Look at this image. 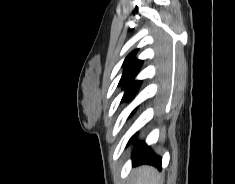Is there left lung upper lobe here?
<instances>
[{
    "label": "left lung upper lobe",
    "mask_w": 235,
    "mask_h": 184,
    "mask_svg": "<svg viewBox=\"0 0 235 184\" xmlns=\"http://www.w3.org/2000/svg\"><path fill=\"white\" fill-rule=\"evenodd\" d=\"M138 49L132 51L124 60V71L120 79L119 85L124 86L125 93L122 98L123 101L130 100L134 94L138 91L141 81H134L135 75L139 72L143 61L135 58Z\"/></svg>",
    "instance_id": "obj_1"
}]
</instances>
